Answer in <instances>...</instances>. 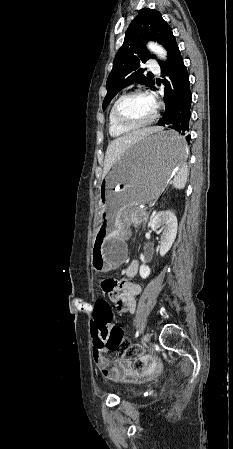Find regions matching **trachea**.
<instances>
[{
    "label": "trachea",
    "instance_id": "obj_1",
    "mask_svg": "<svg viewBox=\"0 0 233 449\" xmlns=\"http://www.w3.org/2000/svg\"><path fill=\"white\" fill-rule=\"evenodd\" d=\"M149 75H150V76H153V74H152V73H149Z\"/></svg>",
    "mask_w": 233,
    "mask_h": 449
}]
</instances>
